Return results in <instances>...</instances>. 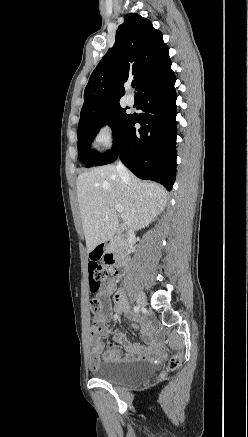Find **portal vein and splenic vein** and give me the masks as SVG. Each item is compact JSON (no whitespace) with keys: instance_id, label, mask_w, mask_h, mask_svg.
<instances>
[{"instance_id":"1","label":"portal vein and splenic vein","mask_w":248,"mask_h":437,"mask_svg":"<svg viewBox=\"0 0 248 437\" xmlns=\"http://www.w3.org/2000/svg\"><path fill=\"white\" fill-rule=\"evenodd\" d=\"M115 210L119 213L123 212V207L121 205H115Z\"/></svg>"}]
</instances>
